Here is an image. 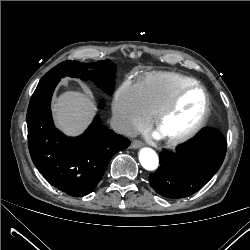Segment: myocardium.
<instances>
[{
	"label": "myocardium",
	"instance_id": "myocardium-1",
	"mask_svg": "<svg viewBox=\"0 0 250 250\" xmlns=\"http://www.w3.org/2000/svg\"><path fill=\"white\" fill-rule=\"evenodd\" d=\"M191 90H199L203 95L202 113L197 121L188 130L170 137L160 136V139L167 145H177L191 139L200 131L209 117L211 108L209 93L201 84L195 82L179 88L167 104L159 110L152 121L153 131L157 134L159 126L174 111L181 97Z\"/></svg>",
	"mask_w": 250,
	"mask_h": 250
}]
</instances>
